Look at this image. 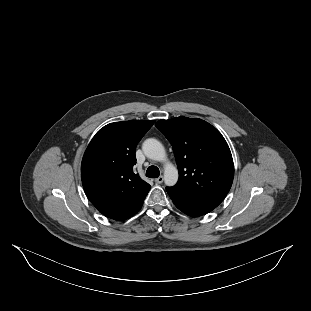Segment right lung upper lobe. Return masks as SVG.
<instances>
[{
    "label": "right lung upper lobe",
    "instance_id": "obj_1",
    "mask_svg": "<svg viewBox=\"0 0 311 311\" xmlns=\"http://www.w3.org/2000/svg\"><path fill=\"white\" fill-rule=\"evenodd\" d=\"M155 121L132 120L101 128L89 143L81 179L90 202L108 218L122 221L137 213L150 185L133 172L135 149Z\"/></svg>",
    "mask_w": 311,
    "mask_h": 311
}]
</instances>
